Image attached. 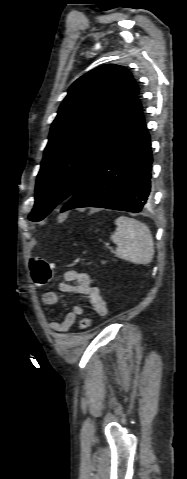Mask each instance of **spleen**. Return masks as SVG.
<instances>
[{
  "label": "spleen",
  "instance_id": "3e777b00",
  "mask_svg": "<svg viewBox=\"0 0 187 479\" xmlns=\"http://www.w3.org/2000/svg\"><path fill=\"white\" fill-rule=\"evenodd\" d=\"M115 225L116 231L110 239L117 245V257L134 264H149L154 256V243L148 226L125 216L118 217Z\"/></svg>",
  "mask_w": 187,
  "mask_h": 479
}]
</instances>
